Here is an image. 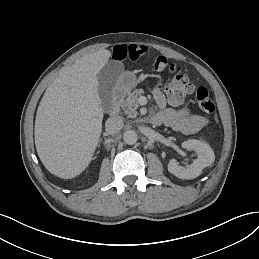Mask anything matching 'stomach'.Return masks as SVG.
I'll list each match as a JSON object with an SVG mask.
<instances>
[{"instance_id":"stomach-1","label":"stomach","mask_w":259,"mask_h":259,"mask_svg":"<svg viewBox=\"0 0 259 259\" xmlns=\"http://www.w3.org/2000/svg\"><path fill=\"white\" fill-rule=\"evenodd\" d=\"M117 87L125 92H130L137 85V79L132 72H124L117 79Z\"/></svg>"}]
</instances>
